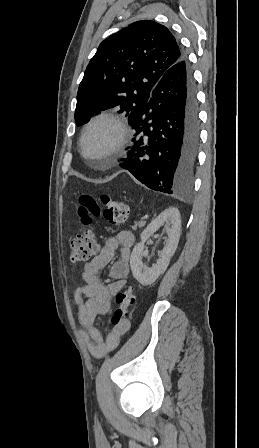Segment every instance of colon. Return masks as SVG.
<instances>
[{"label": "colon", "instance_id": "colon-1", "mask_svg": "<svg viewBox=\"0 0 259 448\" xmlns=\"http://www.w3.org/2000/svg\"><path fill=\"white\" fill-rule=\"evenodd\" d=\"M127 204L113 199L107 194H102L99 199L91 194L84 193L79 197L78 215L84 231L71 240L70 256L74 262H82L89 259L97 251V241L91 228L94 217L102 216L114 225H121L129 218ZM116 309L112 317L114 326L127 320L130 308L135 303V294L132 287H128L116 294Z\"/></svg>", "mask_w": 259, "mask_h": 448}]
</instances>
